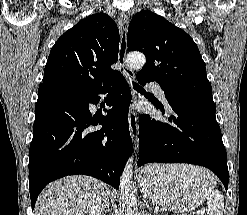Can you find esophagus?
I'll list each match as a JSON object with an SVG mask.
<instances>
[{
  "mask_svg": "<svg viewBox=\"0 0 247 215\" xmlns=\"http://www.w3.org/2000/svg\"><path fill=\"white\" fill-rule=\"evenodd\" d=\"M128 16L125 13H121L118 17V27L120 31V45H119V54H118V63L121 66V71L125 78L127 79L130 86L132 85V81L134 80L135 73L129 68L126 64V51H127V31H128ZM137 96L135 92H132V102H135ZM129 128L132 141L136 146L138 143V118L133 109L130 110L129 113Z\"/></svg>",
  "mask_w": 247,
  "mask_h": 215,
  "instance_id": "esophagus-1",
  "label": "esophagus"
}]
</instances>
